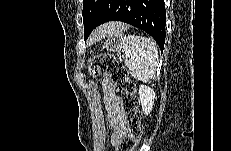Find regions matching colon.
I'll return each mask as SVG.
<instances>
[{"label": "colon", "instance_id": "1", "mask_svg": "<svg viewBox=\"0 0 231 151\" xmlns=\"http://www.w3.org/2000/svg\"><path fill=\"white\" fill-rule=\"evenodd\" d=\"M89 72L92 76H107L112 84L113 95L119 100L127 129L117 141L116 151L134 150L142 136V115L135 95V84L127 70L113 55L99 54L90 60Z\"/></svg>", "mask_w": 231, "mask_h": 151}]
</instances>
